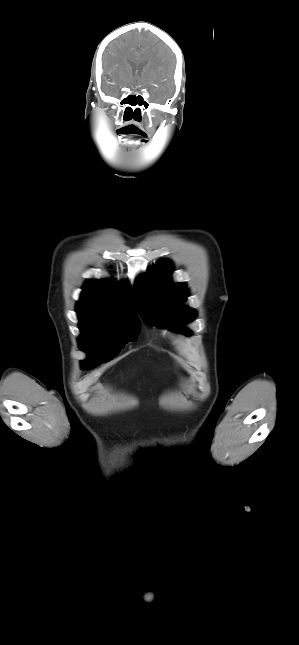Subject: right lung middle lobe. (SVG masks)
<instances>
[{
    "mask_svg": "<svg viewBox=\"0 0 299 645\" xmlns=\"http://www.w3.org/2000/svg\"><path fill=\"white\" fill-rule=\"evenodd\" d=\"M81 335L79 346L89 354L82 361V369H92L110 361L129 341H134L139 331V319L113 312L77 311Z\"/></svg>",
    "mask_w": 299,
    "mask_h": 645,
    "instance_id": "right-lung-middle-lobe-1",
    "label": "right lung middle lobe"
}]
</instances>
